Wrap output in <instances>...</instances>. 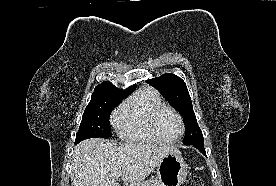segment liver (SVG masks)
<instances>
[{
	"label": "liver",
	"instance_id": "1",
	"mask_svg": "<svg viewBox=\"0 0 276 186\" xmlns=\"http://www.w3.org/2000/svg\"><path fill=\"white\" fill-rule=\"evenodd\" d=\"M176 150L166 145L87 139L74 149L71 183L72 186H119L113 174L122 172L124 182L138 186L166 155Z\"/></svg>",
	"mask_w": 276,
	"mask_h": 186
}]
</instances>
